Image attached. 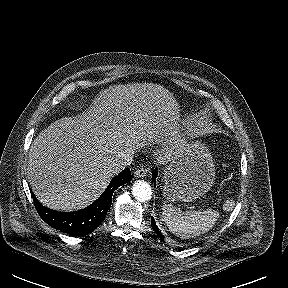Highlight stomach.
I'll use <instances>...</instances> for the list:
<instances>
[{"mask_svg": "<svg viewBox=\"0 0 288 288\" xmlns=\"http://www.w3.org/2000/svg\"><path fill=\"white\" fill-rule=\"evenodd\" d=\"M215 165L200 142L185 143L172 155L164 170L163 196L168 201L191 202L210 190Z\"/></svg>", "mask_w": 288, "mask_h": 288, "instance_id": "0dacf381", "label": "stomach"}]
</instances>
